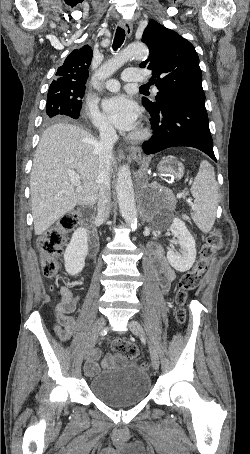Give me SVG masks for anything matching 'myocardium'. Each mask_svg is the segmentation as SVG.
I'll use <instances>...</instances> for the list:
<instances>
[{"label":"myocardium","instance_id":"f54148a6","mask_svg":"<svg viewBox=\"0 0 250 454\" xmlns=\"http://www.w3.org/2000/svg\"><path fill=\"white\" fill-rule=\"evenodd\" d=\"M147 131L145 129H139L136 132H134L130 137L135 140L143 139L146 137Z\"/></svg>","mask_w":250,"mask_h":454}]
</instances>
